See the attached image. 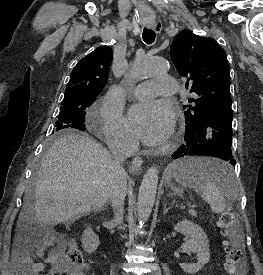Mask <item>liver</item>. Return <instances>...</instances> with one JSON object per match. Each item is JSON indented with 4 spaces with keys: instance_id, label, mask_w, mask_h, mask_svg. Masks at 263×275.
<instances>
[{
    "instance_id": "obj_1",
    "label": "liver",
    "mask_w": 263,
    "mask_h": 275,
    "mask_svg": "<svg viewBox=\"0 0 263 275\" xmlns=\"http://www.w3.org/2000/svg\"><path fill=\"white\" fill-rule=\"evenodd\" d=\"M113 156L95 139L60 136L46 151L35 181L33 209L26 202L19 224L32 209L41 225L72 222L103 210L110 198Z\"/></svg>"
}]
</instances>
